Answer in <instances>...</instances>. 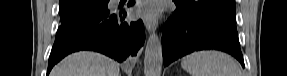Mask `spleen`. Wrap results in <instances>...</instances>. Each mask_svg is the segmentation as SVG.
<instances>
[{
	"label": "spleen",
	"mask_w": 287,
	"mask_h": 76,
	"mask_svg": "<svg viewBox=\"0 0 287 76\" xmlns=\"http://www.w3.org/2000/svg\"><path fill=\"white\" fill-rule=\"evenodd\" d=\"M181 66L191 76H241L236 61L219 51H199L183 58Z\"/></svg>",
	"instance_id": "1"
}]
</instances>
